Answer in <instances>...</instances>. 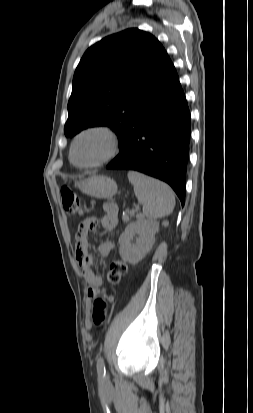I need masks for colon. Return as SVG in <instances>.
Returning a JSON list of instances; mask_svg holds the SVG:
<instances>
[{
    "mask_svg": "<svg viewBox=\"0 0 253 413\" xmlns=\"http://www.w3.org/2000/svg\"><path fill=\"white\" fill-rule=\"evenodd\" d=\"M61 199L65 211L73 216H79L82 214V207L78 197L68 187L61 189ZM127 272V265L122 260H115L110 264L107 272L108 284L113 283L115 286L121 282ZM112 297L105 293L96 295L93 299V305L89 313L90 321L95 325L103 323L107 317V299Z\"/></svg>",
    "mask_w": 253,
    "mask_h": 413,
    "instance_id": "5ec220e1",
    "label": "colon"
}]
</instances>
